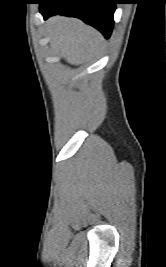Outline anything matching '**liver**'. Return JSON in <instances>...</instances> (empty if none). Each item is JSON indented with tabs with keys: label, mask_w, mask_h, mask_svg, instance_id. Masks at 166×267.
I'll return each mask as SVG.
<instances>
[{
	"label": "liver",
	"mask_w": 166,
	"mask_h": 267,
	"mask_svg": "<svg viewBox=\"0 0 166 267\" xmlns=\"http://www.w3.org/2000/svg\"><path fill=\"white\" fill-rule=\"evenodd\" d=\"M51 46L72 65H80L99 52L103 36L79 19L55 16L48 21Z\"/></svg>",
	"instance_id": "obj_1"
}]
</instances>
